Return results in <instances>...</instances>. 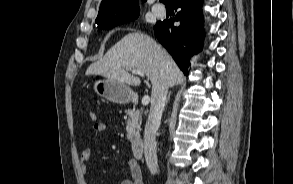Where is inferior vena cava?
Wrapping results in <instances>:
<instances>
[{
	"mask_svg": "<svg viewBox=\"0 0 293 184\" xmlns=\"http://www.w3.org/2000/svg\"><path fill=\"white\" fill-rule=\"evenodd\" d=\"M168 86L161 85L151 96V107L144 131V156L151 174L158 171L155 134L159 128L165 106Z\"/></svg>",
	"mask_w": 293,
	"mask_h": 184,
	"instance_id": "inferior-vena-cava-1",
	"label": "inferior vena cava"
}]
</instances>
